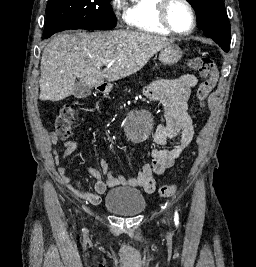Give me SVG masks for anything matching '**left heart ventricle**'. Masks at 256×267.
Listing matches in <instances>:
<instances>
[{
    "instance_id": "obj_1",
    "label": "left heart ventricle",
    "mask_w": 256,
    "mask_h": 267,
    "mask_svg": "<svg viewBox=\"0 0 256 267\" xmlns=\"http://www.w3.org/2000/svg\"><path fill=\"white\" fill-rule=\"evenodd\" d=\"M168 19L173 28L179 32H187L192 26V18L189 10L177 1H173L169 5Z\"/></svg>"
}]
</instances>
